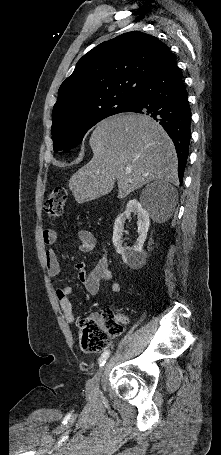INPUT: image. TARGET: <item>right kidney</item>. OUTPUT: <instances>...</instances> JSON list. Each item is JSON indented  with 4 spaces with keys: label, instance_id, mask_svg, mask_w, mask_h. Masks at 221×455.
Segmentation results:
<instances>
[{
    "label": "right kidney",
    "instance_id": "ca27d5eb",
    "mask_svg": "<svg viewBox=\"0 0 221 455\" xmlns=\"http://www.w3.org/2000/svg\"><path fill=\"white\" fill-rule=\"evenodd\" d=\"M132 213L137 215L138 218L139 237L137 238L136 244L132 247H123L122 233L124 223L126 219L130 218ZM149 226V214L136 199L130 200L126 205L125 211L115 220L112 241L116 251L122 255L123 262L130 267H135L138 264H141L146 258V253L143 250V244L146 240Z\"/></svg>",
    "mask_w": 221,
    "mask_h": 455
}]
</instances>
